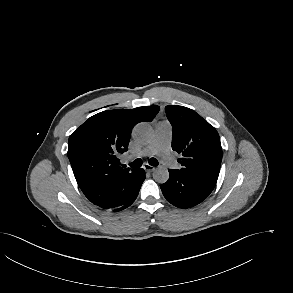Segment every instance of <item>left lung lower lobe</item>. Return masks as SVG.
Returning <instances> with one entry per match:
<instances>
[{"label": "left lung lower lobe", "mask_w": 293, "mask_h": 293, "mask_svg": "<svg viewBox=\"0 0 293 293\" xmlns=\"http://www.w3.org/2000/svg\"><path fill=\"white\" fill-rule=\"evenodd\" d=\"M169 174V179L161 185V190L167 201L179 208L201 203L216 185L213 180L186 175L180 170L170 169Z\"/></svg>", "instance_id": "0a47b994"}]
</instances>
